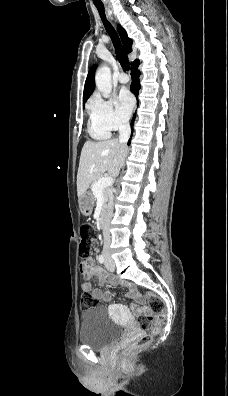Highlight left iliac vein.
<instances>
[{"label": "left iliac vein", "instance_id": "4c4485c4", "mask_svg": "<svg viewBox=\"0 0 228 396\" xmlns=\"http://www.w3.org/2000/svg\"><path fill=\"white\" fill-rule=\"evenodd\" d=\"M105 266L110 272H113L115 270L114 264L109 259L106 260Z\"/></svg>", "mask_w": 228, "mask_h": 396}]
</instances>
